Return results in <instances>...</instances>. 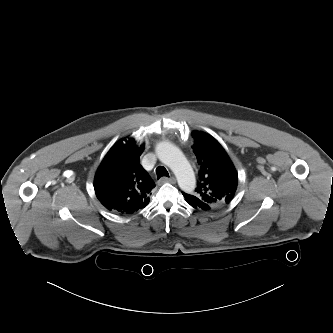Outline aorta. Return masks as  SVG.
<instances>
[{"mask_svg":"<svg viewBox=\"0 0 333 333\" xmlns=\"http://www.w3.org/2000/svg\"><path fill=\"white\" fill-rule=\"evenodd\" d=\"M156 154L158 159L174 172L182 191L190 193L195 189L194 171L178 147L170 142H160L156 146Z\"/></svg>","mask_w":333,"mask_h":333,"instance_id":"aorta-1","label":"aorta"}]
</instances>
